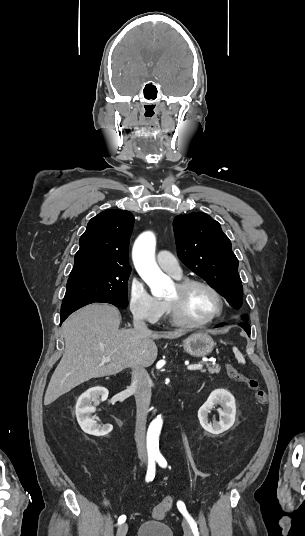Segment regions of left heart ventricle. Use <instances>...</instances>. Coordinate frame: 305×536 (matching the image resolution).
<instances>
[{"instance_id":"left-heart-ventricle-1","label":"left heart ventricle","mask_w":305,"mask_h":536,"mask_svg":"<svg viewBox=\"0 0 305 536\" xmlns=\"http://www.w3.org/2000/svg\"><path fill=\"white\" fill-rule=\"evenodd\" d=\"M165 299L179 304L186 318L193 322L208 320L220 309L218 297L203 286H195L187 292H180L175 285Z\"/></svg>"}]
</instances>
